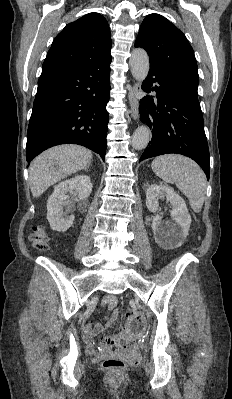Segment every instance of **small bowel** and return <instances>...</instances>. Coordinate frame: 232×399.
Listing matches in <instances>:
<instances>
[{"label": "small bowel", "mask_w": 232, "mask_h": 399, "mask_svg": "<svg viewBox=\"0 0 232 399\" xmlns=\"http://www.w3.org/2000/svg\"><path fill=\"white\" fill-rule=\"evenodd\" d=\"M117 296L115 294H107L103 296L102 298V304L107 306L109 310L113 311V319L117 317V310H115V306L117 304ZM75 326L77 329L86 332V333H98V332H104L109 329L110 324L108 325H103L101 323L97 324H88L82 321H78L75 323Z\"/></svg>", "instance_id": "small-bowel-1"}]
</instances>
